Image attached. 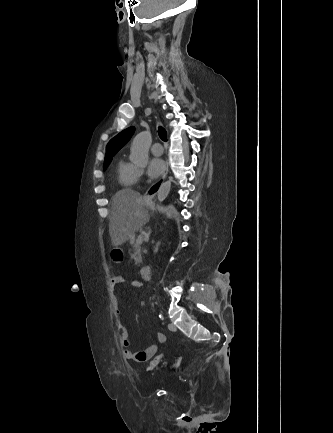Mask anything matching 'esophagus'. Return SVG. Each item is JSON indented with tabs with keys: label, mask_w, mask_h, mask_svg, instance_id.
Returning <instances> with one entry per match:
<instances>
[{
	"label": "esophagus",
	"mask_w": 333,
	"mask_h": 433,
	"mask_svg": "<svg viewBox=\"0 0 333 433\" xmlns=\"http://www.w3.org/2000/svg\"><path fill=\"white\" fill-rule=\"evenodd\" d=\"M168 170H169V163H168V161H166L165 169H164L162 175L154 184H152L148 188V190L144 194V200L145 201H151L155 197V195L157 194V192L161 188V186H162V184H163V182L167 176Z\"/></svg>",
	"instance_id": "esophagus-1"
}]
</instances>
